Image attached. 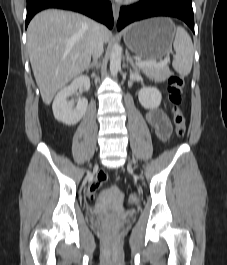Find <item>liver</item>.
I'll list each match as a JSON object with an SVG mask.
<instances>
[{"mask_svg":"<svg viewBox=\"0 0 227 265\" xmlns=\"http://www.w3.org/2000/svg\"><path fill=\"white\" fill-rule=\"evenodd\" d=\"M94 21L79 13L49 9L38 13L27 29V49L41 97L49 105L56 93L88 66ZM105 42L111 32L100 25Z\"/></svg>","mask_w":227,"mask_h":265,"instance_id":"liver-1","label":"liver"}]
</instances>
